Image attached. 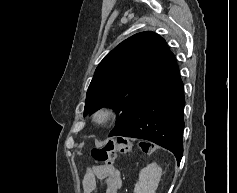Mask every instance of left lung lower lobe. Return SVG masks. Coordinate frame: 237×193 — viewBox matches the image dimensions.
Segmentation results:
<instances>
[{
	"label": "left lung lower lobe",
	"instance_id": "1",
	"mask_svg": "<svg viewBox=\"0 0 237 193\" xmlns=\"http://www.w3.org/2000/svg\"><path fill=\"white\" fill-rule=\"evenodd\" d=\"M184 87L174 59L147 89L128 125L118 136L151 141L171 151L179 164L183 155Z\"/></svg>",
	"mask_w": 237,
	"mask_h": 193
}]
</instances>
